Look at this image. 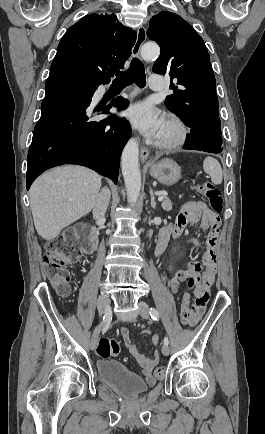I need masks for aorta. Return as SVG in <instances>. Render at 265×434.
Returning <instances> with one entry per match:
<instances>
[{
    "instance_id": "aorta-1",
    "label": "aorta",
    "mask_w": 265,
    "mask_h": 434,
    "mask_svg": "<svg viewBox=\"0 0 265 434\" xmlns=\"http://www.w3.org/2000/svg\"><path fill=\"white\" fill-rule=\"evenodd\" d=\"M160 54L157 44H144L141 48L143 60H153ZM139 146L135 138L127 142L121 158L122 174L126 186L127 200L131 206L136 204L141 190V174L138 164Z\"/></svg>"
}]
</instances>
